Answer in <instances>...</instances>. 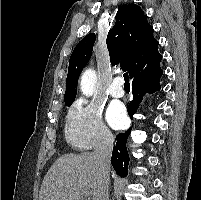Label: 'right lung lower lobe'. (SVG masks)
Wrapping results in <instances>:
<instances>
[{
    "label": "right lung lower lobe",
    "mask_w": 201,
    "mask_h": 200,
    "mask_svg": "<svg viewBox=\"0 0 201 200\" xmlns=\"http://www.w3.org/2000/svg\"><path fill=\"white\" fill-rule=\"evenodd\" d=\"M163 71L157 66L135 76L132 79V101L129 103L128 114L131 119L136 113L139 104L147 91L150 93L156 92L160 89L159 78L162 76ZM131 133V128L125 133L118 134L116 137V145L113 148L111 164L117 174L121 177L127 175V167L129 163V155L126 148L127 138Z\"/></svg>",
    "instance_id": "obj_1"
}]
</instances>
